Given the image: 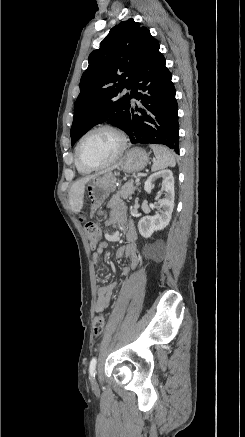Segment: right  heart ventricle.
<instances>
[{"label": "right heart ventricle", "mask_w": 245, "mask_h": 437, "mask_svg": "<svg viewBox=\"0 0 245 437\" xmlns=\"http://www.w3.org/2000/svg\"><path fill=\"white\" fill-rule=\"evenodd\" d=\"M75 166H76L77 171H78L80 174H83V175L89 174V173H91V171H92L91 169H88V168L82 166V165L77 161L76 157H75Z\"/></svg>", "instance_id": "1"}]
</instances>
